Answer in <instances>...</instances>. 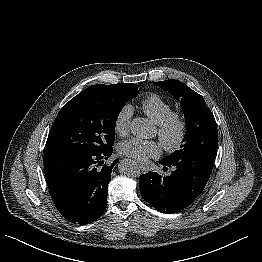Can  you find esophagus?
Instances as JSON below:
<instances>
[{"mask_svg": "<svg viewBox=\"0 0 262 262\" xmlns=\"http://www.w3.org/2000/svg\"><path fill=\"white\" fill-rule=\"evenodd\" d=\"M138 166L143 173H146L148 171V169L143 165V163L138 162Z\"/></svg>", "mask_w": 262, "mask_h": 262, "instance_id": "34e87169", "label": "esophagus"}]
</instances>
